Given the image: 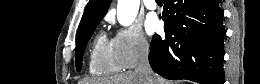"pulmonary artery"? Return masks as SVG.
Segmentation results:
<instances>
[{
	"label": "pulmonary artery",
	"mask_w": 260,
	"mask_h": 84,
	"mask_svg": "<svg viewBox=\"0 0 260 84\" xmlns=\"http://www.w3.org/2000/svg\"><path fill=\"white\" fill-rule=\"evenodd\" d=\"M144 5L149 10H155L157 8V3L154 0H144Z\"/></svg>",
	"instance_id": "obj_1"
}]
</instances>
